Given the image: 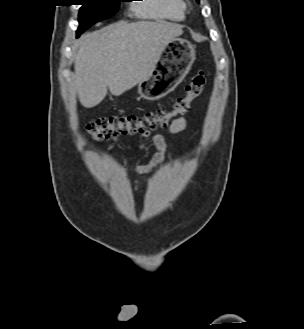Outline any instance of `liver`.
I'll return each mask as SVG.
<instances>
[{
  "label": "liver",
  "mask_w": 304,
  "mask_h": 329,
  "mask_svg": "<svg viewBox=\"0 0 304 329\" xmlns=\"http://www.w3.org/2000/svg\"><path fill=\"white\" fill-rule=\"evenodd\" d=\"M183 33L164 21L119 22L81 36L75 55V87L85 108L98 105L107 88L120 96L146 79L166 43Z\"/></svg>",
  "instance_id": "6515ba94"
}]
</instances>
